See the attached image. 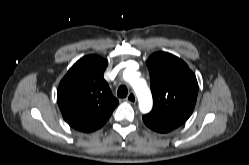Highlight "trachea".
Instances as JSON below:
<instances>
[{
    "mask_svg": "<svg viewBox=\"0 0 249 165\" xmlns=\"http://www.w3.org/2000/svg\"><path fill=\"white\" fill-rule=\"evenodd\" d=\"M127 93H128V90H127V87L124 86V85H121L118 90H117V95L118 97L120 98H124L127 96Z\"/></svg>",
    "mask_w": 249,
    "mask_h": 165,
    "instance_id": "1",
    "label": "trachea"
}]
</instances>
